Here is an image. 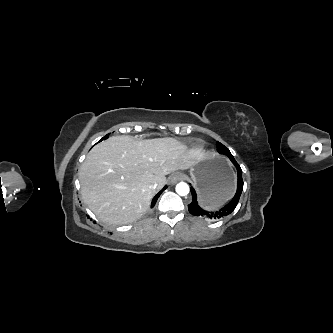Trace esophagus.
<instances>
[{
    "label": "esophagus",
    "instance_id": "1",
    "mask_svg": "<svg viewBox=\"0 0 333 333\" xmlns=\"http://www.w3.org/2000/svg\"><path fill=\"white\" fill-rule=\"evenodd\" d=\"M181 179H182V175L180 173H175V174L171 175L169 182H170V184H175Z\"/></svg>",
    "mask_w": 333,
    "mask_h": 333
}]
</instances>
